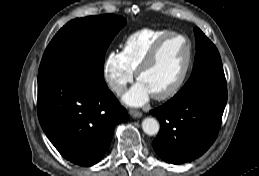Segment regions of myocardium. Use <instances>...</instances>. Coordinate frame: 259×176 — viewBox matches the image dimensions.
<instances>
[{
	"mask_svg": "<svg viewBox=\"0 0 259 176\" xmlns=\"http://www.w3.org/2000/svg\"><path fill=\"white\" fill-rule=\"evenodd\" d=\"M173 36L181 37L186 41L187 54H186L185 64H184V67H183L180 75L178 76V78L168 89H166L165 91H163L161 93L152 94V97L156 100H165V99H168V98L174 96L180 90L185 79L187 78V75L191 68L192 58H193V45H192L190 38L187 35L180 33V32H176V31H170V32L164 34L154 43V45L152 46V48L150 49V51L145 56V58L143 59V61L140 63V65L138 66V68L136 70V78L139 81L141 74L146 69H148L153 64V62L156 60L164 43Z\"/></svg>",
	"mask_w": 259,
	"mask_h": 176,
	"instance_id": "myocardium-1",
	"label": "myocardium"
}]
</instances>
